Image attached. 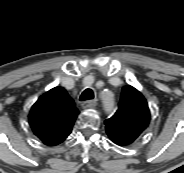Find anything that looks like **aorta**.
I'll use <instances>...</instances> for the list:
<instances>
[{"instance_id":"aorta-1","label":"aorta","mask_w":184,"mask_h":173,"mask_svg":"<svg viewBox=\"0 0 184 173\" xmlns=\"http://www.w3.org/2000/svg\"><path fill=\"white\" fill-rule=\"evenodd\" d=\"M102 102L104 106V110L107 113H112L115 110V99L114 96L111 93H107L102 97Z\"/></svg>"}]
</instances>
